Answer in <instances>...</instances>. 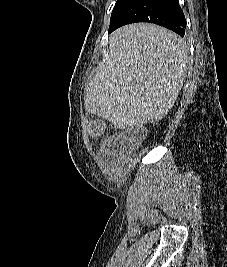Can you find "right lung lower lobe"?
Wrapping results in <instances>:
<instances>
[{"label": "right lung lower lobe", "instance_id": "right-lung-lower-lobe-1", "mask_svg": "<svg viewBox=\"0 0 227 267\" xmlns=\"http://www.w3.org/2000/svg\"><path fill=\"white\" fill-rule=\"evenodd\" d=\"M134 22L155 23L181 37L185 34L186 20L178 0H127L110 23L109 33Z\"/></svg>", "mask_w": 227, "mask_h": 267}]
</instances>
